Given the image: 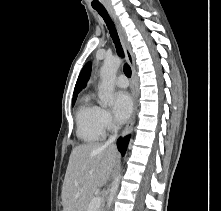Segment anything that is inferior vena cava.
Segmentation results:
<instances>
[{
	"instance_id": "602c4592",
	"label": "inferior vena cava",
	"mask_w": 221,
	"mask_h": 211,
	"mask_svg": "<svg viewBox=\"0 0 221 211\" xmlns=\"http://www.w3.org/2000/svg\"><path fill=\"white\" fill-rule=\"evenodd\" d=\"M118 129H119V126L113 124V126H112V132H113V134L110 136V138L108 139V141L105 143L106 146L115 147L114 142H115V140H116V138H117Z\"/></svg>"
}]
</instances>
